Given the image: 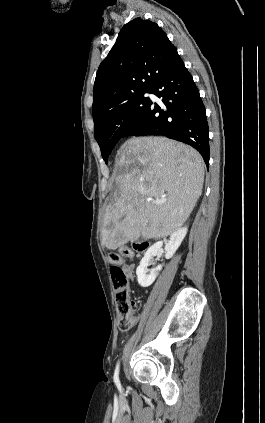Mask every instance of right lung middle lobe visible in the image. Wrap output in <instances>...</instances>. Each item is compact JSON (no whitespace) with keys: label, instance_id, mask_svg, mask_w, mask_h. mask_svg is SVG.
I'll return each mask as SVG.
<instances>
[{"label":"right lung middle lobe","instance_id":"right-lung-middle-lobe-1","mask_svg":"<svg viewBox=\"0 0 265 423\" xmlns=\"http://www.w3.org/2000/svg\"><path fill=\"white\" fill-rule=\"evenodd\" d=\"M149 90L134 94L108 110L94 121V133L104 161L125 132L144 114L151 101L145 97Z\"/></svg>","mask_w":265,"mask_h":423}]
</instances>
